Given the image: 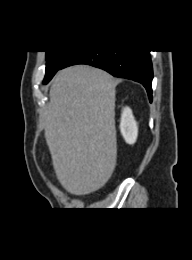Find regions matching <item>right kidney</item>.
<instances>
[{
	"mask_svg": "<svg viewBox=\"0 0 192 260\" xmlns=\"http://www.w3.org/2000/svg\"><path fill=\"white\" fill-rule=\"evenodd\" d=\"M120 131L126 143L134 144L136 142L138 126L129 107L124 108L122 111Z\"/></svg>",
	"mask_w": 192,
	"mask_h": 260,
	"instance_id": "right-kidney-1",
	"label": "right kidney"
}]
</instances>
